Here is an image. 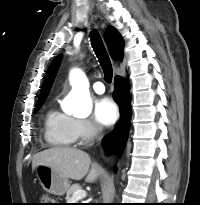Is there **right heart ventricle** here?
Instances as JSON below:
<instances>
[{
    "instance_id": "right-heart-ventricle-1",
    "label": "right heart ventricle",
    "mask_w": 200,
    "mask_h": 205,
    "mask_svg": "<svg viewBox=\"0 0 200 205\" xmlns=\"http://www.w3.org/2000/svg\"><path fill=\"white\" fill-rule=\"evenodd\" d=\"M73 118L55 109H50L44 119V138L51 146L71 147L76 139L72 126Z\"/></svg>"
}]
</instances>
